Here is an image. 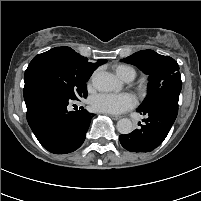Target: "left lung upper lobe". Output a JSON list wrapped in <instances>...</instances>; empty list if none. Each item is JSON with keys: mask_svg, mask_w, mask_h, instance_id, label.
Returning a JSON list of instances; mask_svg holds the SVG:
<instances>
[{"mask_svg": "<svg viewBox=\"0 0 201 201\" xmlns=\"http://www.w3.org/2000/svg\"><path fill=\"white\" fill-rule=\"evenodd\" d=\"M149 75L148 94L139 108H145L161 98L179 99L182 88L177 62L152 50H143L123 59Z\"/></svg>", "mask_w": 201, "mask_h": 201, "instance_id": "1", "label": "left lung upper lobe"}]
</instances>
